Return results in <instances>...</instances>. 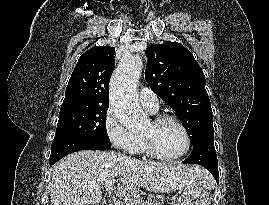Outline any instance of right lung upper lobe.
Instances as JSON below:
<instances>
[{"label": "right lung upper lobe", "instance_id": "1", "mask_svg": "<svg viewBox=\"0 0 269 205\" xmlns=\"http://www.w3.org/2000/svg\"><path fill=\"white\" fill-rule=\"evenodd\" d=\"M114 53L113 47L95 46L81 55L69 79L62 106L109 105L108 86L115 67Z\"/></svg>", "mask_w": 269, "mask_h": 205}]
</instances>
